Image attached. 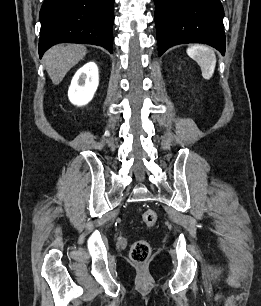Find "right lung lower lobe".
<instances>
[{"mask_svg":"<svg viewBox=\"0 0 261 306\" xmlns=\"http://www.w3.org/2000/svg\"><path fill=\"white\" fill-rule=\"evenodd\" d=\"M114 0H44L39 55L62 43L99 45L112 53Z\"/></svg>","mask_w":261,"mask_h":306,"instance_id":"1","label":"right lung lower lobe"}]
</instances>
